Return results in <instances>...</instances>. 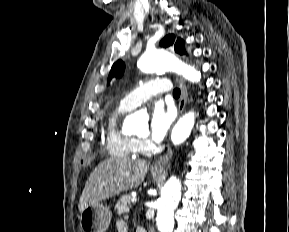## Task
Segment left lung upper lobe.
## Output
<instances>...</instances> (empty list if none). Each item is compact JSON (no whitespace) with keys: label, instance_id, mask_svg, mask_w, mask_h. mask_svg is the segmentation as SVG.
<instances>
[{"label":"left lung upper lobe","instance_id":"5c2ea615","mask_svg":"<svg viewBox=\"0 0 289 232\" xmlns=\"http://www.w3.org/2000/svg\"><path fill=\"white\" fill-rule=\"evenodd\" d=\"M160 46L166 48L169 46H174L175 52L183 55L185 54V46H184V41L181 38L176 39L175 35L170 34L165 36L161 42ZM125 70V64L123 61L118 60L115 62L110 70L109 76H108V82L113 78V77H118L120 78Z\"/></svg>","mask_w":289,"mask_h":232}]
</instances>
